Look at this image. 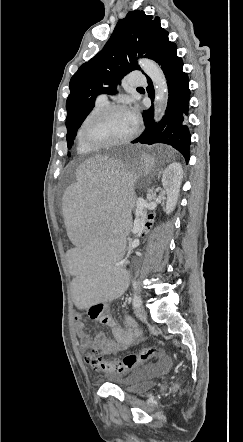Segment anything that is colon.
I'll return each mask as SVG.
<instances>
[{
	"label": "colon",
	"mask_w": 243,
	"mask_h": 442,
	"mask_svg": "<svg viewBox=\"0 0 243 442\" xmlns=\"http://www.w3.org/2000/svg\"><path fill=\"white\" fill-rule=\"evenodd\" d=\"M140 243H145L151 238L149 234L150 227L154 223L153 216H143ZM159 352L156 346L142 348L138 352L128 353L122 358L110 357L105 360L95 355H89L83 358L84 366H92L97 372L107 375H118L130 372L140 366L150 363L151 359Z\"/></svg>",
	"instance_id": "5ec220e1"
}]
</instances>
